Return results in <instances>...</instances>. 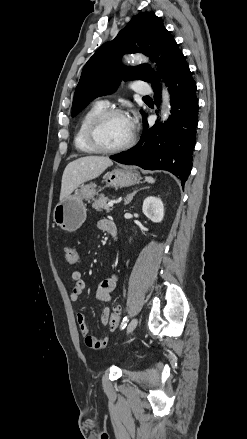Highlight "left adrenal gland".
Wrapping results in <instances>:
<instances>
[{
	"label": "left adrenal gland",
	"instance_id": "obj_1",
	"mask_svg": "<svg viewBox=\"0 0 247 439\" xmlns=\"http://www.w3.org/2000/svg\"><path fill=\"white\" fill-rule=\"evenodd\" d=\"M147 188H149V187H143V188H139V189L134 190L131 194H129L126 197L124 204L125 205L129 204L137 192H139L140 190H143V189H147Z\"/></svg>",
	"mask_w": 247,
	"mask_h": 439
}]
</instances>
